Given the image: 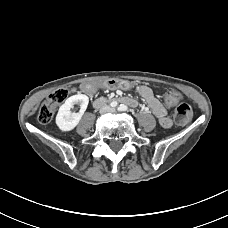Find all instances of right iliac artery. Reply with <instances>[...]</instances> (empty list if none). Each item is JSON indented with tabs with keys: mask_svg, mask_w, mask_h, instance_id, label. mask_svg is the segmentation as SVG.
<instances>
[{
	"mask_svg": "<svg viewBox=\"0 0 228 228\" xmlns=\"http://www.w3.org/2000/svg\"><path fill=\"white\" fill-rule=\"evenodd\" d=\"M118 105V103L116 102V101H112L111 103H110V106L111 107H116Z\"/></svg>",
	"mask_w": 228,
	"mask_h": 228,
	"instance_id": "obj_1",
	"label": "right iliac artery"
}]
</instances>
